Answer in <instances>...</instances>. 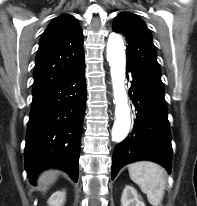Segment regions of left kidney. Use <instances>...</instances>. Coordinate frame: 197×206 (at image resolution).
I'll return each instance as SVG.
<instances>
[{
	"instance_id": "1",
	"label": "left kidney",
	"mask_w": 197,
	"mask_h": 206,
	"mask_svg": "<svg viewBox=\"0 0 197 206\" xmlns=\"http://www.w3.org/2000/svg\"><path fill=\"white\" fill-rule=\"evenodd\" d=\"M122 206H146L143 201L140 200L136 189L130 185L125 186L121 197Z\"/></svg>"
}]
</instances>
